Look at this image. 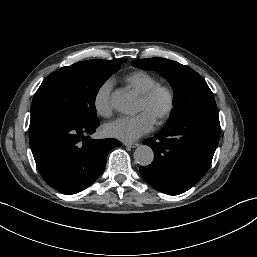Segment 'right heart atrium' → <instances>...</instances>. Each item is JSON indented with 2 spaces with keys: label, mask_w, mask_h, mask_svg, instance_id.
Masks as SVG:
<instances>
[{
  "label": "right heart atrium",
  "mask_w": 257,
  "mask_h": 257,
  "mask_svg": "<svg viewBox=\"0 0 257 257\" xmlns=\"http://www.w3.org/2000/svg\"><path fill=\"white\" fill-rule=\"evenodd\" d=\"M112 87V81L106 80L98 87L94 94L93 105L95 111L103 117H108L113 112Z\"/></svg>",
  "instance_id": "right-heart-atrium-1"
}]
</instances>
